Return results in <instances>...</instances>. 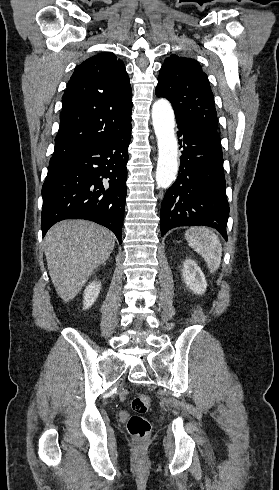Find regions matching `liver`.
Returning a JSON list of instances; mask_svg holds the SVG:
<instances>
[{
	"label": "liver",
	"instance_id": "1",
	"mask_svg": "<svg viewBox=\"0 0 279 490\" xmlns=\"http://www.w3.org/2000/svg\"><path fill=\"white\" fill-rule=\"evenodd\" d=\"M44 244L52 284L63 302H71L108 260L115 236L94 222L63 220L48 230Z\"/></svg>",
	"mask_w": 279,
	"mask_h": 490
}]
</instances>
